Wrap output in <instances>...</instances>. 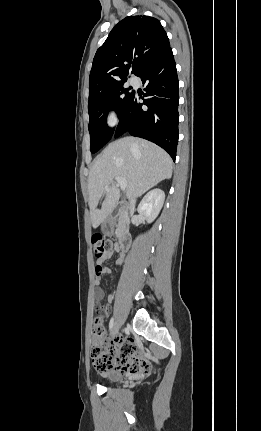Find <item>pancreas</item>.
<instances>
[{
  "mask_svg": "<svg viewBox=\"0 0 261 431\" xmlns=\"http://www.w3.org/2000/svg\"><path fill=\"white\" fill-rule=\"evenodd\" d=\"M123 221H124V219H123V217H122V215H120L119 216V219H118V228H117V231H116V234L117 235H119L120 234V229H121V226H122V223H123Z\"/></svg>",
  "mask_w": 261,
  "mask_h": 431,
  "instance_id": "cf45deb5",
  "label": "pancreas"
}]
</instances>
